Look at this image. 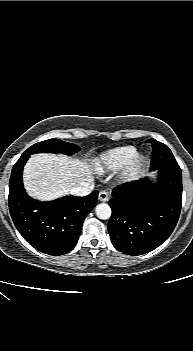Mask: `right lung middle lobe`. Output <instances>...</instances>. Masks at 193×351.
<instances>
[{
	"label": "right lung middle lobe",
	"instance_id": "1",
	"mask_svg": "<svg viewBox=\"0 0 193 351\" xmlns=\"http://www.w3.org/2000/svg\"><path fill=\"white\" fill-rule=\"evenodd\" d=\"M79 150L80 148L75 144L68 143L60 139H49L32 145L22 155H31L36 153H62L72 155Z\"/></svg>",
	"mask_w": 193,
	"mask_h": 351
}]
</instances>
